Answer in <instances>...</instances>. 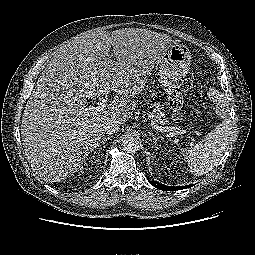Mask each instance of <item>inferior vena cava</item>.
<instances>
[{
	"instance_id": "602c4592",
	"label": "inferior vena cava",
	"mask_w": 255,
	"mask_h": 255,
	"mask_svg": "<svg viewBox=\"0 0 255 255\" xmlns=\"http://www.w3.org/2000/svg\"><path fill=\"white\" fill-rule=\"evenodd\" d=\"M119 130V124L116 121H108L104 126V131L107 134H114L117 133Z\"/></svg>"
}]
</instances>
